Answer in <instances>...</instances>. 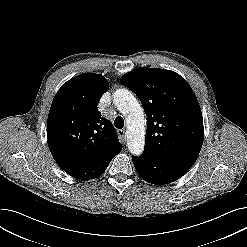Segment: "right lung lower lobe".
Instances as JSON below:
<instances>
[{
    "label": "right lung lower lobe",
    "instance_id": "right-lung-lower-lobe-1",
    "mask_svg": "<svg viewBox=\"0 0 247 247\" xmlns=\"http://www.w3.org/2000/svg\"><path fill=\"white\" fill-rule=\"evenodd\" d=\"M120 152V151H119ZM113 152L107 157L95 162L91 165L86 166H74V165H59L65 172L71 175L74 178L79 180H89L97 178L103 174L111 160L119 153Z\"/></svg>",
    "mask_w": 247,
    "mask_h": 247
}]
</instances>
